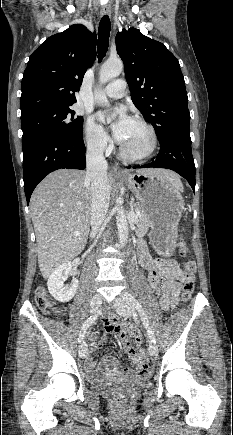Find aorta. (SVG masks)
Returning <instances> with one entry per match:
<instances>
[{
    "label": "aorta",
    "mask_w": 233,
    "mask_h": 435,
    "mask_svg": "<svg viewBox=\"0 0 233 435\" xmlns=\"http://www.w3.org/2000/svg\"><path fill=\"white\" fill-rule=\"evenodd\" d=\"M123 71V62L120 59H116V60H109L106 63H104L100 69L99 72V83L105 84L106 82H108L109 80H111L112 78H115L117 76H119L121 74V72ZM95 100L97 101V103L99 104H103L107 102V98L105 96V94L98 89L95 92ZM111 119H108V122H110ZM122 198H118L116 200V224H117V229H118V237H119V242L122 246H124L127 242L128 239V222L126 219V214L124 211V208L122 206Z\"/></svg>",
    "instance_id": "aorta-1"
}]
</instances>
